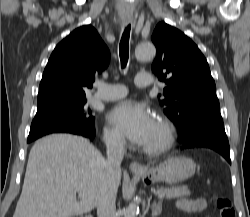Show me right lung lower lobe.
<instances>
[{
	"label": "right lung lower lobe",
	"instance_id": "98d812e1",
	"mask_svg": "<svg viewBox=\"0 0 250 217\" xmlns=\"http://www.w3.org/2000/svg\"><path fill=\"white\" fill-rule=\"evenodd\" d=\"M85 137H87V138L93 140V139L95 138V135H93V136H85Z\"/></svg>",
	"mask_w": 250,
	"mask_h": 217
}]
</instances>
